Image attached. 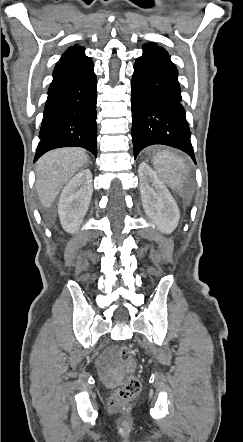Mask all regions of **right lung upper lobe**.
I'll list each match as a JSON object with an SVG mask.
<instances>
[{
    "mask_svg": "<svg viewBox=\"0 0 243 442\" xmlns=\"http://www.w3.org/2000/svg\"><path fill=\"white\" fill-rule=\"evenodd\" d=\"M81 50H84V47H81V46H77V45H75L74 47H70V48H68V49L66 50V52L64 53V55H66V54H71V53H76V52H79V51H81Z\"/></svg>",
    "mask_w": 243,
    "mask_h": 442,
    "instance_id": "right-lung-upper-lobe-1",
    "label": "right lung upper lobe"
}]
</instances>
